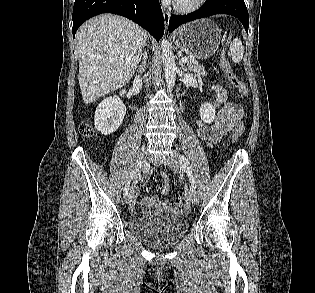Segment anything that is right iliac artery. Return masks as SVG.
<instances>
[{
	"label": "right iliac artery",
	"instance_id": "right-iliac-artery-1",
	"mask_svg": "<svg viewBox=\"0 0 315 293\" xmlns=\"http://www.w3.org/2000/svg\"><path fill=\"white\" fill-rule=\"evenodd\" d=\"M136 172H137V169H134V170H132V171L130 172V174L128 175V177H127V184H126V186H125L124 189H123V194H124V196H126V195L128 194L130 182H131V180L136 176Z\"/></svg>",
	"mask_w": 315,
	"mask_h": 293
}]
</instances>
